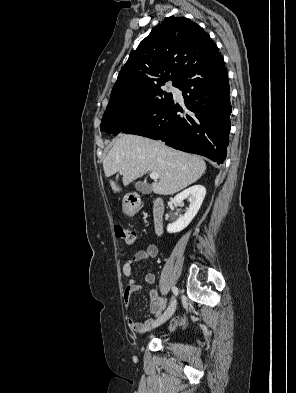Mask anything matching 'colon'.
Instances as JSON below:
<instances>
[{
  "label": "colon",
  "instance_id": "colon-1",
  "mask_svg": "<svg viewBox=\"0 0 296 393\" xmlns=\"http://www.w3.org/2000/svg\"><path fill=\"white\" fill-rule=\"evenodd\" d=\"M115 234L127 245H133L135 243V233L131 230L125 229L122 226H117L115 228Z\"/></svg>",
  "mask_w": 296,
  "mask_h": 393
}]
</instances>
